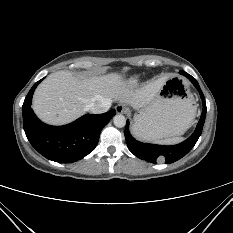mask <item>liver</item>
<instances>
[{"mask_svg":"<svg viewBox=\"0 0 233 233\" xmlns=\"http://www.w3.org/2000/svg\"><path fill=\"white\" fill-rule=\"evenodd\" d=\"M167 76L152 80L140 88L129 86L123 75L76 78L70 71L50 74L33 96L36 115L52 125H64L84 115L89 106L102 99H115L134 109L147 106L165 84Z\"/></svg>","mask_w":233,"mask_h":233,"instance_id":"obj_1","label":"liver"}]
</instances>
